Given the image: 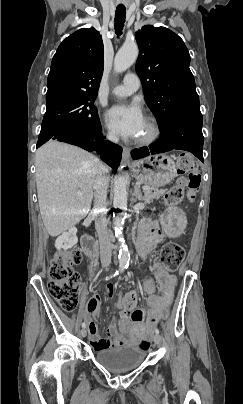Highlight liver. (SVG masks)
<instances>
[{
	"label": "liver",
	"mask_w": 243,
	"mask_h": 404,
	"mask_svg": "<svg viewBox=\"0 0 243 404\" xmlns=\"http://www.w3.org/2000/svg\"><path fill=\"white\" fill-rule=\"evenodd\" d=\"M35 166L43 224L55 238L88 214L100 160L81 148L52 140L37 150Z\"/></svg>",
	"instance_id": "liver-1"
}]
</instances>
